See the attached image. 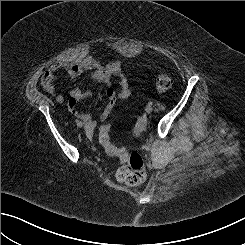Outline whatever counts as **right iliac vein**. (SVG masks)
Instances as JSON below:
<instances>
[{"instance_id":"obj_1","label":"right iliac vein","mask_w":245,"mask_h":245,"mask_svg":"<svg viewBox=\"0 0 245 245\" xmlns=\"http://www.w3.org/2000/svg\"><path fill=\"white\" fill-rule=\"evenodd\" d=\"M83 126V123L81 122V124L79 125V127H82Z\"/></svg>"}]
</instances>
